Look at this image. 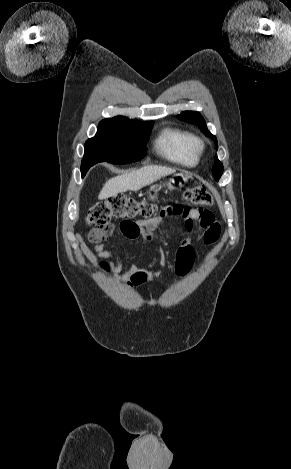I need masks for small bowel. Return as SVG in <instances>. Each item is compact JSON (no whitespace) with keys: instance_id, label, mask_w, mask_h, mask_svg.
<instances>
[{"instance_id":"c3829d8e","label":"small bowel","mask_w":291,"mask_h":469,"mask_svg":"<svg viewBox=\"0 0 291 469\" xmlns=\"http://www.w3.org/2000/svg\"><path fill=\"white\" fill-rule=\"evenodd\" d=\"M175 216L182 220L185 237L179 241L174 271L177 277H184L191 271L195 260V251L192 246V237L195 234V222H199L200 226L205 230L204 243L207 246H211L217 242L221 226L209 211L189 209L187 213H180ZM167 217L173 216L164 214L147 220L123 221L120 224V231L126 239H143L146 242H150L154 239V232L165 226L164 219ZM114 229L115 225H111L110 232L105 235L100 234L97 230H92L88 236L89 241L94 244L93 249L99 258L112 260L108 263H102L105 270L111 272L116 279L125 282L127 285L137 286L146 280L147 274L143 267L136 264L130 265L128 269L121 274L122 260L113 248L108 246ZM211 229H215L214 234H208ZM157 264L160 266L165 265L164 256H154L147 267H152Z\"/></svg>"}]
</instances>
